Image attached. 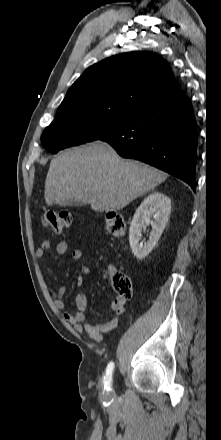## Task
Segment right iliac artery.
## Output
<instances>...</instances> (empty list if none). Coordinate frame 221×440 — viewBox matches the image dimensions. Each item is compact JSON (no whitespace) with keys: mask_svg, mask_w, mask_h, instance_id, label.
Returning <instances> with one entry per match:
<instances>
[{"mask_svg":"<svg viewBox=\"0 0 221 440\" xmlns=\"http://www.w3.org/2000/svg\"><path fill=\"white\" fill-rule=\"evenodd\" d=\"M114 369V363L110 362L106 368V374L104 376V389L106 390L107 393H109L112 388H111V382H112V372Z\"/></svg>","mask_w":221,"mask_h":440,"instance_id":"obj_1","label":"right iliac artery"}]
</instances>
